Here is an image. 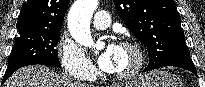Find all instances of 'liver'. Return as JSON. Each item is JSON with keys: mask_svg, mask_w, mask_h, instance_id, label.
<instances>
[{"mask_svg": "<svg viewBox=\"0 0 205 87\" xmlns=\"http://www.w3.org/2000/svg\"><path fill=\"white\" fill-rule=\"evenodd\" d=\"M3 87H89L60 75L48 67L32 65L12 74Z\"/></svg>", "mask_w": 205, "mask_h": 87, "instance_id": "6515ba94", "label": "liver"}]
</instances>
